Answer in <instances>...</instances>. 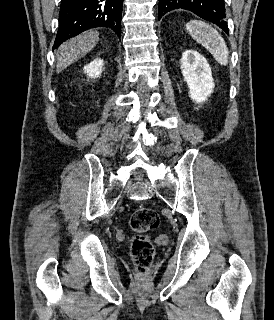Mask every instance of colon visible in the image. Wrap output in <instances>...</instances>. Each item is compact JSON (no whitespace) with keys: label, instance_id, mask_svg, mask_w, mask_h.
<instances>
[{"label":"colon","instance_id":"obj_1","mask_svg":"<svg viewBox=\"0 0 274 320\" xmlns=\"http://www.w3.org/2000/svg\"><path fill=\"white\" fill-rule=\"evenodd\" d=\"M159 223V216L149 207L137 208L129 218V225L134 236L131 244V256L139 272L150 270L154 258V249L148 239V233Z\"/></svg>","mask_w":274,"mask_h":320}]
</instances>
